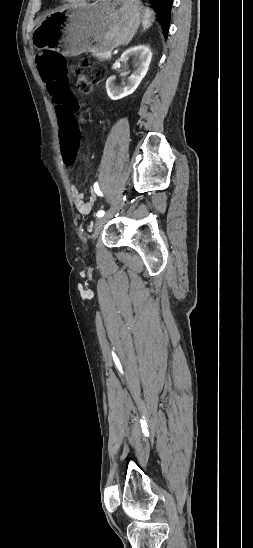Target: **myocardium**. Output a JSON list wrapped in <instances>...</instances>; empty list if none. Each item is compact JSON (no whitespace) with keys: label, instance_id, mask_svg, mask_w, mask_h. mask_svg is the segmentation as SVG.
I'll list each match as a JSON object with an SVG mask.
<instances>
[{"label":"myocardium","instance_id":"f54148a6","mask_svg":"<svg viewBox=\"0 0 253 548\" xmlns=\"http://www.w3.org/2000/svg\"><path fill=\"white\" fill-rule=\"evenodd\" d=\"M63 1L77 3V2H82V1H86V0H63Z\"/></svg>","mask_w":253,"mask_h":548}]
</instances>
